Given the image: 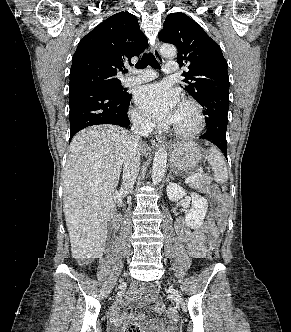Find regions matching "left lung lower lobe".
Returning a JSON list of instances; mask_svg holds the SVG:
<instances>
[{
    "label": "left lung lower lobe",
    "mask_w": 291,
    "mask_h": 332,
    "mask_svg": "<svg viewBox=\"0 0 291 332\" xmlns=\"http://www.w3.org/2000/svg\"><path fill=\"white\" fill-rule=\"evenodd\" d=\"M205 108V121L207 131L200 136L215 144L227 157V114L229 109V97L225 95H210L199 102Z\"/></svg>",
    "instance_id": "obj_1"
}]
</instances>
